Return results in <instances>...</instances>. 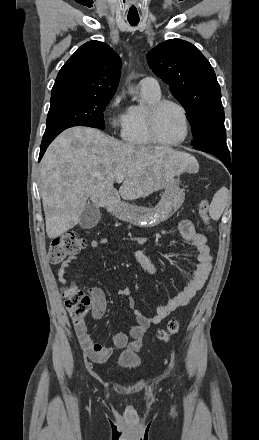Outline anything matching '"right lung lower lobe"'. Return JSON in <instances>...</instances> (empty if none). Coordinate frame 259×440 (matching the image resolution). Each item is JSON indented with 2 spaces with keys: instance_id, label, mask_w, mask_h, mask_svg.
Segmentation results:
<instances>
[{
  "instance_id": "obj_1",
  "label": "right lung lower lobe",
  "mask_w": 259,
  "mask_h": 440,
  "mask_svg": "<svg viewBox=\"0 0 259 440\" xmlns=\"http://www.w3.org/2000/svg\"><path fill=\"white\" fill-rule=\"evenodd\" d=\"M65 129H67V128H64V129L58 130L56 132H53L51 134L43 136L42 143H41V148H40L39 161L41 160L42 156L44 155V153H45L47 147L49 146V144L54 140V138L57 135H59Z\"/></svg>"
}]
</instances>
